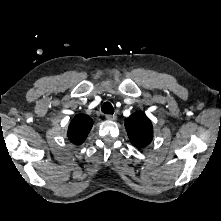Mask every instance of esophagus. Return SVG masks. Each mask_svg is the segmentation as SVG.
Wrapping results in <instances>:
<instances>
[{
  "label": "esophagus",
  "mask_w": 221,
  "mask_h": 221,
  "mask_svg": "<svg viewBox=\"0 0 221 221\" xmlns=\"http://www.w3.org/2000/svg\"><path fill=\"white\" fill-rule=\"evenodd\" d=\"M116 115H112V114H108V115H106V119L107 120H110V121H114V120H116Z\"/></svg>",
  "instance_id": "obj_1"
}]
</instances>
